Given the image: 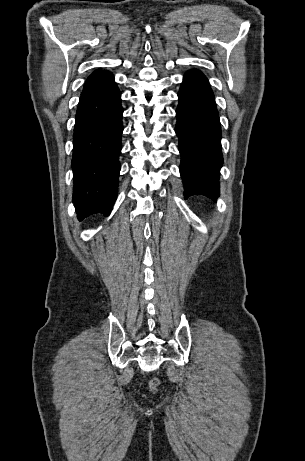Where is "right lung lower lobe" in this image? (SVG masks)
<instances>
[{"label":"right lung lower lobe","mask_w":305,"mask_h":461,"mask_svg":"<svg viewBox=\"0 0 305 461\" xmlns=\"http://www.w3.org/2000/svg\"><path fill=\"white\" fill-rule=\"evenodd\" d=\"M123 109L112 73L89 77L75 117L74 194L79 219L109 215L117 198Z\"/></svg>","instance_id":"right-lung-lower-lobe-1"}]
</instances>
